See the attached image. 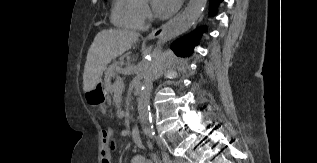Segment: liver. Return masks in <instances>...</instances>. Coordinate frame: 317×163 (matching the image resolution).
Instances as JSON below:
<instances>
[{
    "label": "liver",
    "mask_w": 317,
    "mask_h": 163,
    "mask_svg": "<svg viewBox=\"0 0 317 163\" xmlns=\"http://www.w3.org/2000/svg\"><path fill=\"white\" fill-rule=\"evenodd\" d=\"M139 33L105 29L97 33L87 53L83 73V90H92L99 82L107 64L129 50L138 41Z\"/></svg>",
    "instance_id": "obj_1"
}]
</instances>
